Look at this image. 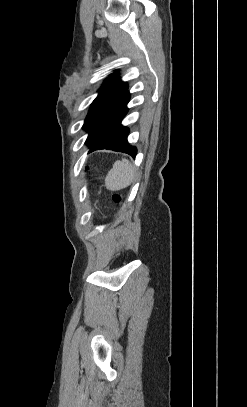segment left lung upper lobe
Here are the masks:
<instances>
[{
  "mask_svg": "<svg viewBox=\"0 0 247 407\" xmlns=\"http://www.w3.org/2000/svg\"><path fill=\"white\" fill-rule=\"evenodd\" d=\"M127 89V83L122 82L116 74L106 79L99 90L97 98L91 104L83 129L89 131L93 123L106 108Z\"/></svg>",
  "mask_w": 247,
  "mask_h": 407,
  "instance_id": "left-lung-upper-lobe-1",
  "label": "left lung upper lobe"
}]
</instances>
